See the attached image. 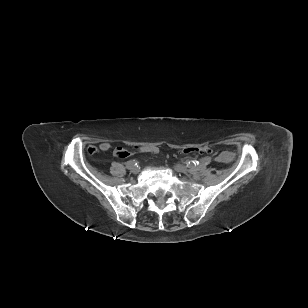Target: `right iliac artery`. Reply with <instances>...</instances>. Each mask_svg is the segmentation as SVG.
<instances>
[{"label": "right iliac artery", "mask_w": 308, "mask_h": 308, "mask_svg": "<svg viewBox=\"0 0 308 308\" xmlns=\"http://www.w3.org/2000/svg\"><path fill=\"white\" fill-rule=\"evenodd\" d=\"M137 165H138V162L136 160H130L126 163L127 169H132L133 167Z\"/></svg>", "instance_id": "obj_1"}]
</instances>
